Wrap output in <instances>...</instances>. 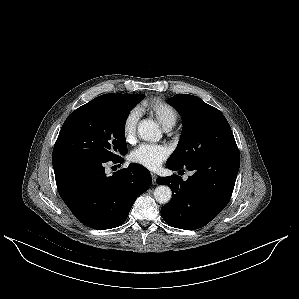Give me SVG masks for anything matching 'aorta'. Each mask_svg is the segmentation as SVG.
I'll use <instances>...</instances> for the list:
<instances>
[{"label":"aorta","instance_id":"obj_1","mask_svg":"<svg viewBox=\"0 0 299 299\" xmlns=\"http://www.w3.org/2000/svg\"><path fill=\"white\" fill-rule=\"evenodd\" d=\"M138 135L141 139L146 141H159L162 137L158 125L151 120L144 119L140 121L137 129ZM171 189L166 185H159L154 190V198L160 204H166L171 200Z\"/></svg>","mask_w":299,"mask_h":299}]
</instances>
